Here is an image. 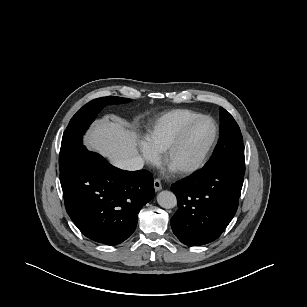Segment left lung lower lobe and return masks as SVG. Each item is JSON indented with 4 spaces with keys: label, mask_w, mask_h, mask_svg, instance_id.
I'll use <instances>...</instances> for the list:
<instances>
[{
    "label": "left lung lower lobe",
    "mask_w": 307,
    "mask_h": 307,
    "mask_svg": "<svg viewBox=\"0 0 307 307\" xmlns=\"http://www.w3.org/2000/svg\"><path fill=\"white\" fill-rule=\"evenodd\" d=\"M243 175L224 167L203 168L174 183L178 210L171 218L176 237L185 245L216 240L234 217Z\"/></svg>",
    "instance_id": "obj_1"
}]
</instances>
